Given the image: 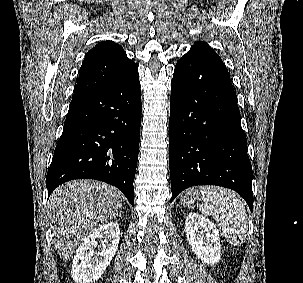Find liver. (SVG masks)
Here are the masks:
<instances>
[{
    "mask_svg": "<svg viewBox=\"0 0 303 283\" xmlns=\"http://www.w3.org/2000/svg\"><path fill=\"white\" fill-rule=\"evenodd\" d=\"M121 208V192L103 182L75 180L58 187L48 201V218L59 257L71 258L78 245Z\"/></svg>",
    "mask_w": 303,
    "mask_h": 283,
    "instance_id": "liver-1",
    "label": "liver"
}]
</instances>
